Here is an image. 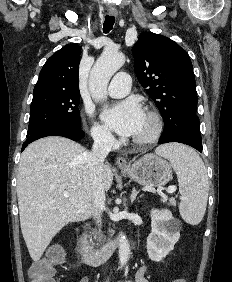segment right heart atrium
Listing matches in <instances>:
<instances>
[{
  "label": "right heart atrium",
  "mask_w": 232,
  "mask_h": 282,
  "mask_svg": "<svg viewBox=\"0 0 232 282\" xmlns=\"http://www.w3.org/2000/svg\"><path fill=\"white\" fill-rule=\"evenodd\" d=\"M87 114L92 118V113L90 111H87ZM91 135L97 143L103 146H110L114 143V137L111 132L105 126L94 121L91 126Z\"/></svg>",
  "instance_id": "d8ad5b80"
}]
</instances>
